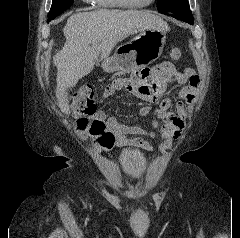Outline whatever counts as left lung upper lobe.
<instances>
[{"label": "left lung upper lobe", "mask_w": 240, "mask_h": 238, "mask_svg": "<svg viewBox=\"0 0 240 238\" xmlns=\"http://www.w3.org/2000/svg\"><path fill=\"white\" fill-rule=\"evenodd\" d=\"M158 10L193 19L188 0H158Z\"/></svg>", "instance_id": "1"}]
</instances>
